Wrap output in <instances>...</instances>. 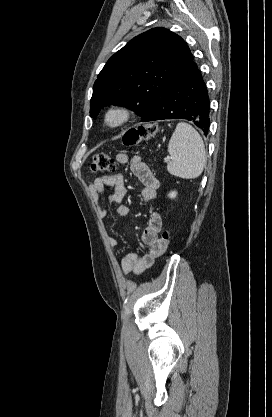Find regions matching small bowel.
I'll return each mask as SVG.
<instances>
[{
    "instance_id": "1",
    "label": "small bowel",
    "mask_w": 272,
    "mask_h": 417,
    "mask_svg": "<svg viewBox=\"0 0 272 417\" xmlns=\"http://www.w3.org/2000/svg\"><path fill=\"white\" fill-rule=\"evenodd\" d=\"M116 160L121 164L130 163L132 173L143 185L141 191L143 201L149 202L156 198L160 189V182L141 156L135 155L129 158L127 154L119 153L116 155ZM106 187L113 188V192L109 195L108 200L111 203L118 204L116 208L118 215L122 217L127 216L130 210L126 205L121 204L127 192L123 175L118 173L95 178L88 187L95 202L99 203L103 198ZM99 213L101 217H105L107 211L100 207ZM162 227L163 219L161 215L151 210L148 216L147 227L142 233V241L147 246V249L142 255L128 253L122 258L121 269L124 274H141L151 267L155 259L166 251L167 245H164L159 238ZM108 241L113 247L118 245V239L115 237H109Z\"/></svg>"
}]
</instances>
